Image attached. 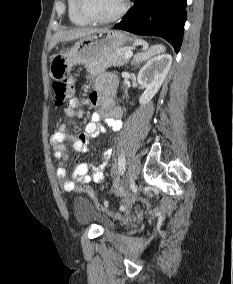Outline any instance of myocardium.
I'll return each mask as SVG.
<instances>
[{"mask_svg": "<svg viewBox=\"0 0 233 284\" xmlns=\"http://www.w3.org/2000/svg\"><path fill=\"white\" fill-rule=\"evenodd\" d=\"M128 9V0H124L121 8L110 17H97L88 8V0H78V10L80 14L90 23L107 24L120 19Z\"/></svg>", "mask_w": 233, "mask_h": 284, "instance_id": "f54148a6", "label": "myocardium"}]
</instances>
